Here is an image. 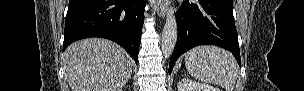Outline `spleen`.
<instances>
[{
  "mask_svg": "<svg viewBox=\"0 0 304 91\" xmlns=\"http://www.w3.org/2000/svg\"><path fill=\"white\" fill-rule=\"evenodd\" d=\"M185 66L197 80L233 91L238 65L233 55L216 46H198L185 54Z\"/></svg>",
  "mask_w": 304,
  "mask_h": 91,
  "instance_id": "3e777b00",
  "label": "spleen"
}]
</instances>
